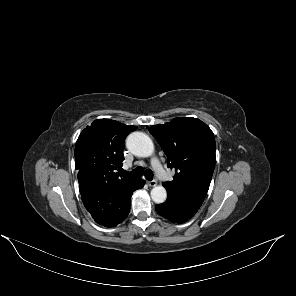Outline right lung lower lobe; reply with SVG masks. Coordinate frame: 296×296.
<instances>
[{"mask_svg": "<svg viewBox=\"0 0 296 296\" xmlns=\"http://www.w3.org/2000/svg\"><path fill=\"white\" fill-rule=\"evenodd\" d=\"M82 201L92 218L100 225L114 227L129 214L132 193L145 181L140 177L121 185H101L88 176L78 177Z\"/></svg>", "mask_w": 296, "mask_h": 296, "instance_id": "right-lung-lower-lobe-1", "label": "right lung lower lobe"}]
</instances>
